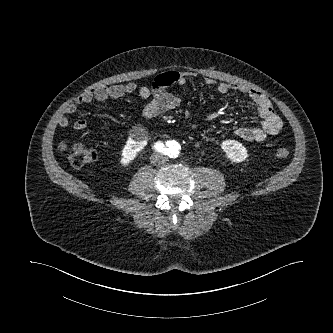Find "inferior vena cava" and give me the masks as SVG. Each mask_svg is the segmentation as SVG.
<instances>
[{
  "mask_svg": "<svg viewBox=\"0 0 333 333\" xmlns=\"http://www.w3.org/2000/svg\"><path fill=\"white\" fill-rule=\"evenodd\" d=\"M167 160V157L161 153H154L151 156V163L154 165H161Z\"/></svg>",
  "mask_w": 333,
  "mask_h": 333,
  "instance_id": "602c4592",
  "label": "inferior vena cava"
}]
</instances>
